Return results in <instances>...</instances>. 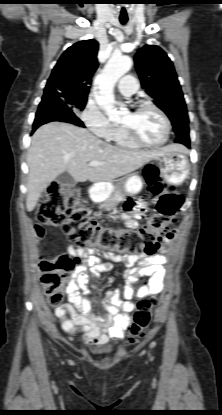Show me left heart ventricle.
I'll list each match as a JSON object with an SVG mask.
<instances>
[{
    "label": "left heart ventricle",
    "mask_w": 222,
    "mask_h": 415,
    "mask_svg": "<svg viewBox=\"0 0 222 415\" xmlns=\"http://www.w3.org/2000/svg\"><path fill=\"white\" fill-rule=\"evenodd\" d=\"M122 124L130 125L146 142L157 143L165 136V123L161 116L151 108H144L137 112L127 111Z\"/></svg>",
    "instance_id": "left-heart-ventricle-1"
}]
</instances>
